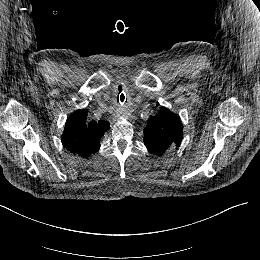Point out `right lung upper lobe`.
<instances>
[{
	"instance_id": "obj_1",
	"label": "right lung upper lobe",
	"mask_w": 260,
	"mask_h": 260,
	"mask_svg": "<svg viewBox=\"0 0 260 260\" xmlns=\"http://www.w3.org/2000/svg\"><path fill=\"white\" fill-rule=\"evenodd\" d=\"M87 116L86 110H77L72 113L66 121L62 135L64 147L84 158L99 149L100 138L110 126L104 120L89 122Z\"/></svg>"
}]
</instances>
